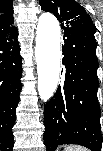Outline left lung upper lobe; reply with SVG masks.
<instances>
[{"label": "left lung upper lobe", "instance_id": "obj_1", "mask_svg": "<svg viewBox=\"0 0 103 151\" xmlns=\"http://www.w3.org/2000/svg\"><path fill=\"white\" fill-rule=\"evenodd\" d=\"M46 12L53 13L61 23V28L80 30L94 34L96 27L89 14L75 0H40Z\"/></svg>", "mask_w": 103, "mask_h": 151}]
</instances>
